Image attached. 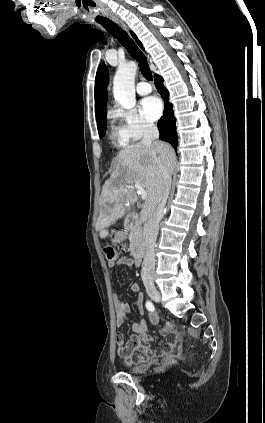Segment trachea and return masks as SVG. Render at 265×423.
Masks as SVG:
<instances>
[{
  "mask_svg": "<svg viewBox=\"0 0 265 423\" xmlns=\"http://www.w3.org/2000/svg\"><path fill=\"white\" fill-rule=\"evenodd\" d=\"M100 24L138 61L143 76L147 80H152V72L149 68L147 59L130 36L111 20L100 22Z\"/></svg>",
  "mask_w": 265,
  "mask_h": 423,
  "instance_id": "trachea-1",
  "label": "trachea"
}]
</instances>
